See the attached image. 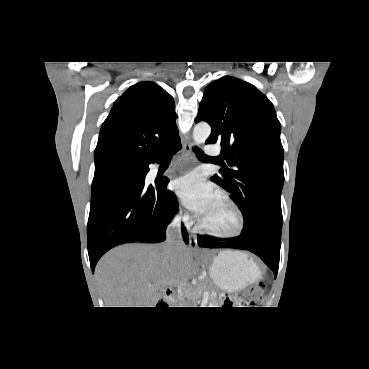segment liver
I'll list each match as a JSON object with an SVG mask.
<instances>
[{"label": "liver", "mask_w": 369, "mask_h": 369, "mask_svg": "<svg viewBox=\"0 0 369 369\" xmlns=\"http://www.w3.org/2000/svg\"><path fill=\"white\" fill-rule=\"evenodd\" d=\"M195 274L185 246L167 254L164 244H125L105 254L95 276L106 307H156L161 290L186 283Z\"/></svg>", "instance_id": "6515ba94"}]
</instances>
